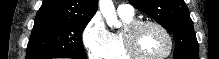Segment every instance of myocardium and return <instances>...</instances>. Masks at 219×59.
Returning a JSON list of instances; mask_svg holds the SVG:
<instances>
[{
	"mask_svg": "<svg viewBox=\"0 0 219 59\" xmlns=\"http://www.w3.org/2000/svg\"><path fill=\"white\" fill-rule=\"evenodd\" d=\"M153 26L160 30L164 36L167 39L168 42V48L167 51L158 57H147L142 55L136 44V38L139 30L144 26ZM123 39H124V46L126 52L133 58V59H167L173 51L174 41L170 34V32L167 30L165 26L160 24L157 21L150 20V19H144V20H136L133 23L127 25L123 30Z\"/></svg>",
	"mask_w": 219,
	"mask_h": 59,
	"instance_id": "obj_1",
	"label": "myocardium"
}]
</instances>
